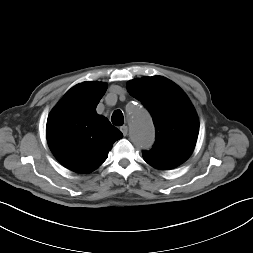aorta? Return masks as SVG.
Wrapping results in <instances>:
<instances>
[{
    "mask_svg": "<svg viewBox=\"0 0 253 253\" xmlns=\"http://www.w3.org/2000/svg\"><path fill=\"white\" fill-rule=\"evenodd\" d=\"M129 134L136 147L146 150L154 142V126L148 112L134 105L129 113Z\"/></svg>",
    "mask_w": 253,
    "mask_h": 253,
    "instance_id": "obj_1",
    "label": "aorta"
}]
</instances>
